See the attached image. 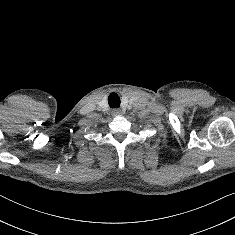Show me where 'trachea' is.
<instances>
[{
	"label": "trachea",
	"mask_w": 235,
	"mask_h": 235,
	"mask_svg": "<svg viewBox=\"0 0 235 235\" xmlns=\"http://www.w3.org/2000/svg\"><path fill=\"white\" fill-rule=\"evenodd\" d=\"M108 103L111 108L120 106V97L116 93H111L108 97Z\"/></svg>",
	"instance_id": "3493384b"
}]
</instances>
